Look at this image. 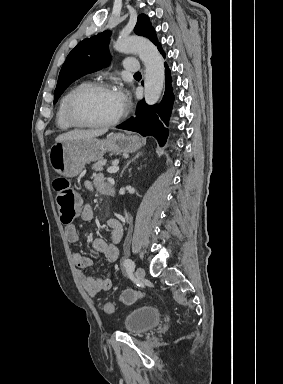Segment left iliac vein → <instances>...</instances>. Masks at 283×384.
<instances>
[{
	"instance_id": "4c4485c4",
	"label": "left iliac vein",
	"mask_w": 283,
	"mask_h": 384,
	"mask_svg": "<svg viewBox=\"0 0 283 384\" xmlns=\"http://www.w3.org/2000/svg\"><path fill=\"white\" fill-rule=\"evenodd\" d=\"M136 278L139 282H143L145 279V270L141 267L137 268L135 272Z\"/></svg>"
}]
</instances>
